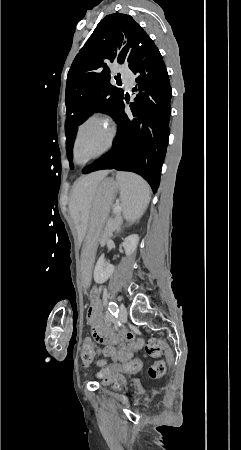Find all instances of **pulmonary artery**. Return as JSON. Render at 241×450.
Returning <instances> with one entry per match:
<instances>
[{"instance_id":"pulmonary-artery-1","label":"pulmonary artery","mask_w":241,"mask_h":450,"mask_svg":"<svg viewBox=\"0 0 241 450\" xmlns=\"http://www.w3.org/2000/svg\"><path fill=\"white\" fill-rule=\"evenodd\" d=\"M135 78L134 71H121L119 73L118 82L119 84H124L126 88L132 87V82Z\"/></svg>"}]
</instances>
